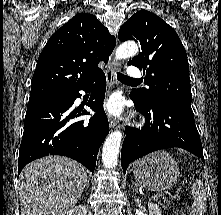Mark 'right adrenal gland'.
Masks as SVG:
<instances>
[{
    "mask_svg": "<svg viewBox=\"0 0 221 215\" xmlns=\"http://www.w3.org/2000/svg\"><path fill=\"white\" fill-rule=\"evenodd\" d=\"M89 186H90V181H89V180H87V181H86L85 188H87V189H88V188H89Z\"/></svg>",
    "mask_w": 221,
    "mask_h": 215,
    "instance_id": "2a0ac1e0",
    "label": "right adrenal gland"
}]
</instances>
